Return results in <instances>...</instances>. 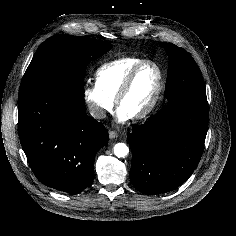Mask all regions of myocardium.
<instances>
[{"mask_svg":"<svg viewBox=\"0 0 236 236\" xmlns=\"http://www.w3.org/2000/svg\"><path fill=\"white\" fill-rule=\"evenodd\" d=\"M149 64L153 65L158 71V75H159L158 86L149 105L142 112L130 117L133 121H140V120L148 118L154 112V110L156 109V107L158 106L160 102L161 95L164 89V84H165V75L160 64L154 60L148 59V60L142 61L141 63L136 65L134 68H132L130 72L127 74L126 78L124 79L117 93V96L115 98L116 106L119 109L120 103L123 100V98L126 96V94L129 92L136 75L144 66L149 65Z\"/></svg>","mask_w":236,"mask_h":236,"instance_id":"myocardium-1","label":"myocardium"}]
</instances>
